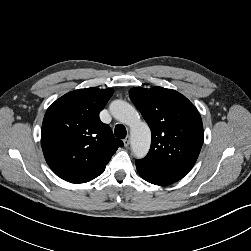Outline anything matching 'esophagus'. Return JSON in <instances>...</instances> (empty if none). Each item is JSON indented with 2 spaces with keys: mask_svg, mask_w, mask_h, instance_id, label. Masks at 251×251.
<instances>
[{
  "mask_svg": "<svg viewBox=\"0 0 251 251\" xmlns=\"http://www.w3.org/2000/svg\"><path fill=\"white\" fill-rule=\"evenodd\" d=\"M123 142H124V146H125V147H128L129 144H130V139H129V137H126V138L123 140Z\"/></svg>",
  "mask_w": 251,
  "mask_h": 251,
  "instance_id": "1",
  "label": "esophagus"
}]
</instances>
